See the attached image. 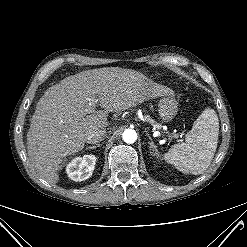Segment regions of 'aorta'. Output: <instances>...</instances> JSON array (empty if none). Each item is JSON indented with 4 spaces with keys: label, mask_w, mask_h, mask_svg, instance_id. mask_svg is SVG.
I'll return each mask as SVG.
<instances>
[{
    "label": "aorta",
    "mask_w": 247,
    "mask_h": 247,
    "mask_svg": "<svg viewBox=\"0 0 247 247\" xmlns=\"http://www.w3.org/2000/svg\"><path fill=\"white\" fill-rule=\"evenodd\" d=\"M125 143L132 144L137 140V133L133 129H126L122 134Z\"/></svg>",
    "instance_id": "762f6f07"
}]
</instances>
